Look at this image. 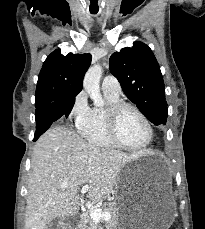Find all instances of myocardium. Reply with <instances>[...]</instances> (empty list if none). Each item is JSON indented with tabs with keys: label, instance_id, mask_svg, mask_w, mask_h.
Here are the masks:
<instances>
[{
	"label": "myocardium",
	"instance_id": "f54148a6",
	"mask_svg": "<svg viewBox=\"0 0 205 229\" xmlns=\"http://www.w3.org/2000/svg\"><path fill=\"white\" fill-rule=\"evenodd\" d=\"M126 110L134 111L143 120V122L147 127L148 130L147 140L139 146L128 145L124 143L119 136V132H118L119 120L122 113ZM106 122H107V131L110 139L120 148L132 150V151H140L147 148L152 142L154 132H153V127L151 125V122L138 107L130 103L120 101L117 103L110 104L106 109Z\"/></svg>",
	"mask_w": 205,
	"mask_h": 229
}]
</instances>
